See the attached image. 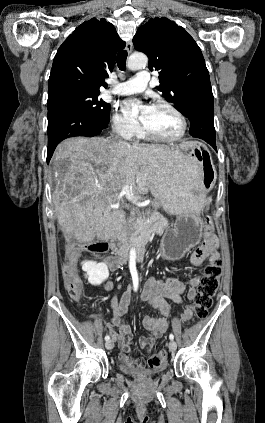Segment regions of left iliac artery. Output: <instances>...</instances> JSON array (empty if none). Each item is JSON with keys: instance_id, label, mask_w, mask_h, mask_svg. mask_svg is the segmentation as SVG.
<instances>
[{"instance_id": "44dca946", "label": "left iliac artery", "mask_w": 265, "mask_h": 423, "mask_svg": "<svg viewBox=\"0 0 265 423\" xmlns=\"http://www.w3.org/2000/svg\"><path fill=\"white\" fill-rule=\"evenodd\" d=\"M169 338H170V340H173L174 339V335L173 334H170L169 335Z\"/></svg>"}]
</instances>
